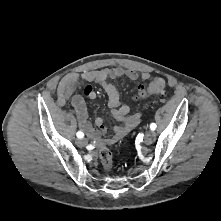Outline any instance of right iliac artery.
<instances>
[{
  "instance_id": "82829eb1",
  "label": "right iliac artery",
  "mask_w": 221,
  "mask_h": 221,
  "mask_svg": "<svg viewBox=\"0 0 221 221\" xmlns=\"http://www.w3.org/2000/svg\"><path fill=\"white\" fill-rule=\"evenodd\" d=\"M76 135H77L78 138H83L84 137V133L81 132V131H78Z\"/></svg>"
}]
</instances>
